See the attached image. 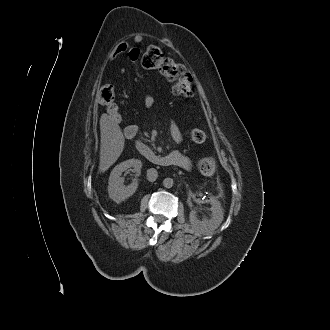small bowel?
<instances>
[{"mask_svg": "<svg viewBox=\"0 0 330 330\" xmlns=\"http://www.w3.org/2000/svg\"><path fill=\"white\" fill-rule=\"evenodd\" d=\"M135 42H140L139 38L135 39ZM129 53V57L132 61H136L140 55V50L138 48H133L130 47L127 42H120L117 44L111 54H110V59L114 60L118 56L122 55L123 53L127 52ZM154 97L150 94H146L143 97V104L147 108H151L154 105ZM131 127L130 130L133 132L136 128L134 126H129ZM170 134L174 142L180 143L182 141V132L180 128L178 127L177 124L172 123L170 126ZM168 159V162L170 165L178 166L183 169H189L191 167V160L188 156L183 154L180 151H172L165 155Z\"/></svg>", "mask_w": 330, "mask_h": 330, "instance_id": "c3829d8e", "label": "small bowel"}]
</instances>
